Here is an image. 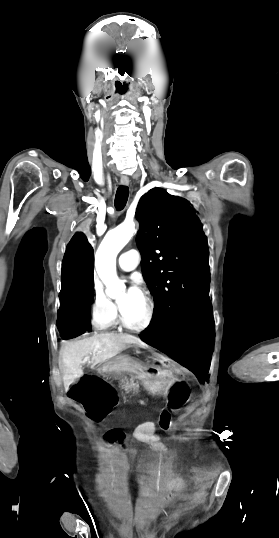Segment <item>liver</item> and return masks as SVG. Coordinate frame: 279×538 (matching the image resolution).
Returning <instances> with one entry per match:
<instances>
[{"mask_svg":"<svg viewBox=\"0 0 279 538\" xmlns=\"http://www.w3.org/2000/svg\"><path fill=\"white\" fill-rule=\"evenodd\" d=\"M128 344H136L140 348L145 346L143 342H139L137 338L128 334H96L93 338L79 340V342H62L59 368L63 372L65 388L83 376L81 364L85 356H93L91 370H94L96 364H103L117 354H121L128 348Z\"/></svg>","mask_w":279,"mask_h":538,"instance_id":"6515ba94","label":"liver"}]
</instances>
